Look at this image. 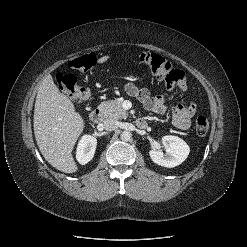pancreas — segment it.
I'll return each instance as SVG.
<instances>
[{
  "label": "pancreas",
  "mask_w": 247,
  "mask_h": 247,
  "mask_svg": "<svg viewBox=\"0 0 247 247\" xmlns=\"http://www.w3.org/2000/svg\"><path fill=\"white\" fill-rule=\"evenodd\" d=\"M98 109L109 118L126 119L128 116L127 111L122 107V102L118 99L103 101Z\"/></svg>",
  "instance_id": "cf45deb5"
}]
</instances>
